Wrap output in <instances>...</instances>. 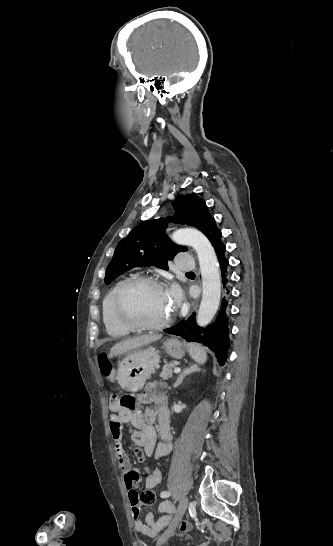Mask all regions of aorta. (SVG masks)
<instances>
[{"instance_id":"1","label":"aorta","mask_w":333,"mask_h":546,"mask_svg":"<svg viewBox=\"0 0 333 546\" xmlns=\"http://www.w3.org/2000/svg\"><path fill=\"white\" fill-rule=\"evenodd\" d=\"M172 240L191 246L197 253L202 278V301L197 314V324L206 326L215 316L220 303V270L215 251L209 240L197 229L185 228L175 231Z\"/></svg>"}]
</instances>
